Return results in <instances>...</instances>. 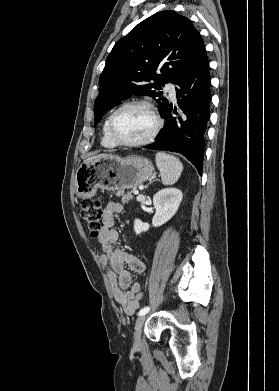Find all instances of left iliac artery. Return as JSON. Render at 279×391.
I'll return each mask as SVG.
<instances>
[{"label": "left iliac artery", "mask_w": 279, "mask_h": 391, "mask_svg": "<svg viewBox=\"0 0 279 391\" xmlns=\"http://www.w3.org/2000/svg\"><path fill=\"white\" fill-rule=\"evenodd\" d=\"M149 310H150L149 307H144V308H142V309L139 311L138 315H139V316L145 315L146 313H148Z\"/></svg>", "instance_id": "obj_1"}]
</instances>
